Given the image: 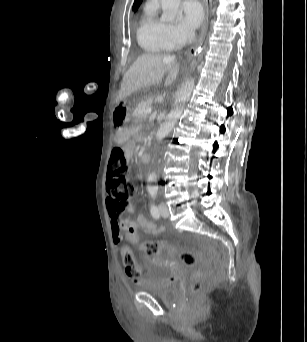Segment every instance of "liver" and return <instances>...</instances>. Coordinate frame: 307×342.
Wrapping results in <instances>:
<instances>
[{"label": "liver", "mask_w": 307, "mask_h": 342, "mask_svg": "<svg viewBox=\"0 0 307 342\" xmlns=\"http://www.w3.org/2000/svg\"><path fill=\"white\" fill-rule=\"evenodd\" d=\"M179 70L180 64L168 54H142L124 74L117 100H123L141 88L161 84L165 74H168L166 82L171 84Z\"/></svg>", "instance_id": "obj_1"}]
</instances>
